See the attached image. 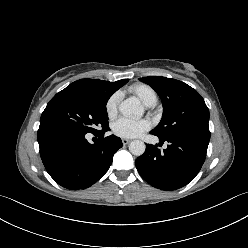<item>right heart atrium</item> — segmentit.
Returning a JSON list of instances; mask_svg holds the SVG:
<instances>
[{
	"label": "right heart atrium",
	"mask_w": 248,
	"mask_h": 248,
	"mask_svg": "<svg viewBox=\"0 0 248 248\" xmlns=\"http://www.w3.org/2000/svg\"><path fill=\"white\" fill-rule=\"evenodd\" d=\"M119 100H120V93L115 92L106 101L105 111L109 118H113L117 114Z\"/></svg>",
	"instance_id": "d8ad5b80"
}]
</instances>
